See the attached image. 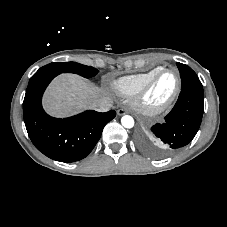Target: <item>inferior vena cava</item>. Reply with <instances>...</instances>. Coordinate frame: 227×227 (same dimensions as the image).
Returning <instances> with one entry per match:
<instances>
[{"instance_id":"1","label":"inferior vena cava","mask_w":227,"mask_h":227,"mask_svg":"<svg viewBox=\"0 0 227 227\" xmlns=\"http://www.w3.org/2000/svg\"><path fill=\"white\" fill-rule=\"evenodd\" d=\"M112 100L108 97H103L92 103L91 108L98 112H107L112 107Z\"/></svg>"}]
</instances>
